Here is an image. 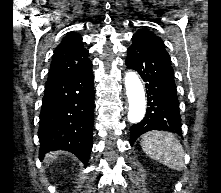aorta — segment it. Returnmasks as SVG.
<instances>
[{"label": "aorta", "mask_w": 221, "mask_h": 193, "mask_svg": "<svg viewBox=\"0 0 221 193\" xmlns=\"http://www.w3.org/2000/svg\"><path fill=\"white\" fill-rule=\"evenodd\" d=\"M125 87L129 102L128 120L138 123L145 115L146 100L143 85L135 72L126 73Z\"/></svg>", "instance_id": "1"}]
</instances>
